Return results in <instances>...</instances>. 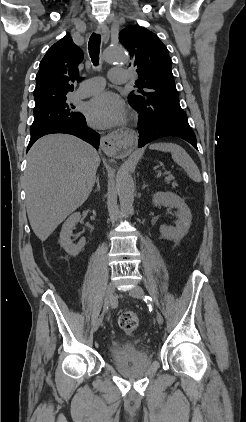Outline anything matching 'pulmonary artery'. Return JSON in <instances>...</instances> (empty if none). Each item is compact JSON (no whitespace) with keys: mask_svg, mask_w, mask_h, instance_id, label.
I'll use <instances>...</instances> for the list:
<instances>
[{"mask_svg":"<svg viewBox=\"0 0 246 422\" xmlns=\"http://www.w3.org/2000/svg\"><path fill=\"white\" fill-rule=\"evenodd\" d=\"M109 78L112 82L123 84L128 81V72L125 69L114 68L110 71ZM104 87L101 77H93L82 82L74 94L75 98H86L100 92Z\"/></svg>","mask_w":246,"mask_h":422,"instance_id":"pulmonary-artery-1","label":"pulmonary artery"}]
</instances>
